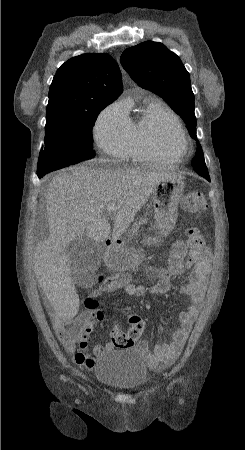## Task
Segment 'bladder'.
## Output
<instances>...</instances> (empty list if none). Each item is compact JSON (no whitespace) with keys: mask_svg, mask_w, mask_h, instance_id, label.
<instances>
[{"mask_svg":"<svg viewBox=\"0 0 245 450\" xmlns=\"http://www.w3.org/2000/svg\"><path fill=\"white\" fill-rule=\"evenodd\" d=\"M97 380L123 392H137L147 381V368L133 348L113 351L95 364Z\"/></svg>","mask_w":245,"mask_h":450,"instance_id":"1","label":"bladder"}]
</instances>
